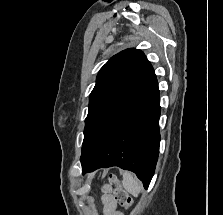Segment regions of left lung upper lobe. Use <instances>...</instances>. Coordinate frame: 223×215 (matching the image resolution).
<instances>
[{
  "mask_svg": "<svg viewBox=\"0 0 223 215\" xmlns=\"http://www.w3.org/2000/svg\"><path fill=\"white\" fill-rule=\"evenodd\" d=\"M156 80L154 69L141 50L126 49L99 71L89 97L81 164L86 165L112 128Z\"/></svg>",
  "mask_w": 223,
  "mask_h": 215,
  "instance_id": "left-lung-upper-lobe-1",
  "label": "left lung upper lobe"
}]
</instances>
